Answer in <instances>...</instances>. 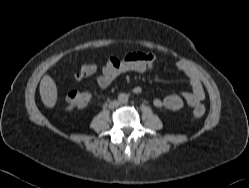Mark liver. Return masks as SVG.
<instances>
[{
    "instance_id": "1",
    "label": "liver",
    "mask_w": 249,
    "mask_h": 188,
    "mask_svg": "<svg viewBox=\"0 0 249 188\" xmlns=\"http://www.w3.org/2000/svg\"><path fill=\"white\" fill-rule=\"evenodd\" d=\"M39 90L43 104L48 108H53L57 102L58 91L56 83L51 76H43L40 82Z\"/></svg>"
}]
</instances>
